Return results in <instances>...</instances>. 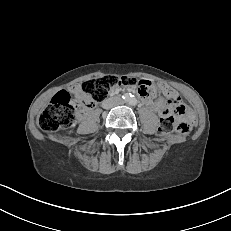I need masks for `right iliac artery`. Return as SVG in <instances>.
<instances>
[{
  "label": "right iliac artery",
  "mask_w": 231,
  "mask_h": 231,
  "mask_svg": "<svg viewBox=\"0 0 231 231\" xmlns=\"http://www.w3.org/2000/svg\"><path fill=\"white\" fill-rule=\"evenodd\" d=\"M123 100L126 101V102H129L130 99H131V96L129 94H125L122 96Z\"/></svg>",
  "instance_id": "obj_1"
}]
</instances>
